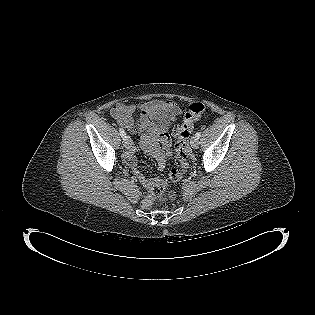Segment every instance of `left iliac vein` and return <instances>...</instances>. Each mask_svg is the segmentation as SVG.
Returning <instances> with one entry per match:
<instances>
[{
	"label": "left iliac vein",
	"mask_w": 315,
	"mask_h": 315,
	"mask_svg": "<svg viewBox=\"0 0 315 315\" xmlns=\"http://www.w3.org/2000/svg\"><path fill=\"white\" fill-rule=\"evenodd\" d=\"M191 147L197 149L199 146V139L196 136H193L190 141Z\"/></svg>",
	"instance_id": "1"
}]
</instances>
